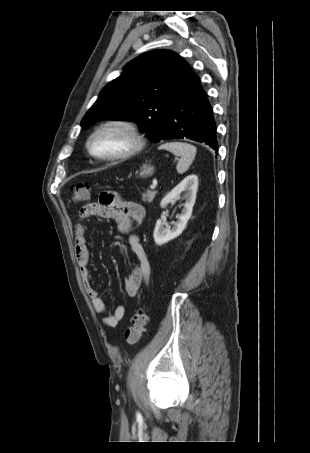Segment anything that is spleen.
I'll return each mask as SVG.
<instances>
[{
    "mask_svg": "<svg viewBox=\"0 0 310 453\" xmlns=\"http://www.w3.org/2000/svg\"><path fill=\"white\" fill-rule=\"evenodd\" d=\"M159 149L167 150L176 156H180L176 170L179 174L185 173L196 156V147L183 142H168L162 144Z\"/></svg>",
    "mask_w": 310,
    "mask_h": 453,
    "instance_id": "spleen-1",
    "label": "spleen"
}]
</instances>
